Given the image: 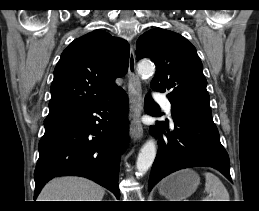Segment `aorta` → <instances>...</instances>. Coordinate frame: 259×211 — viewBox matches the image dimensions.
Listing matches in <instances>:
<instances>
[{"instance_id": "obj_1", "label": "aorta", "mask_w": 259, "mask_h": 211, "mask_svg": "<svg viewBox=\"0 0 259 211\" xmlns=\"http://www.w3.org/2000/svg\"><path fill=\"white\" fill-rule=\"evenodd\" d=\"M137 70L140 76L148 77L154 73L155 67L153 63L142 61L138 64ZM156 152L155 140H147L138 154L136 162L137 175L143 176L149 170L156 157Z\"/></svg>"}]
</instances>
